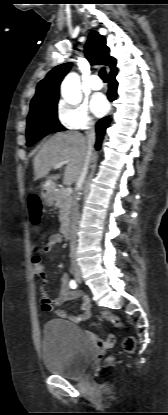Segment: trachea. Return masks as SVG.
<instances>
[{
  "instance_id": "1",
  "label": "trachea",
  "mask_w": 168,
  "mask_h": 415,
  "mask_svg": "<svg viewBox=\"0 0 168 415\" xmlns=\"http://www.w3.org/2000/svg\"><path fill=\"white\" fill-rule=\"evenodd\" d=\"M99 76L104 82L107 81L108 77L105 68L100 69Z\"/></svg>"
}]
</instances>
